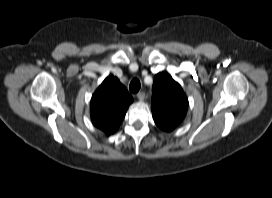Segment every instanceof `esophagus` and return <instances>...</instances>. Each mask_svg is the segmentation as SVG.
Wrapping results in <instances>:
<instances>
[{
    "mask_svg": "<svg viewBox=\"0 0 272 198\" xmlns=\"http://www.w3.org/2000/svg\"><path fill=\"white\" fill-rule=\"evenodd\" d=\"M137 98H138L139 101H143L144 98H145V93L144 92H139L137 94Z\"/></svg>",
    "mask_w": 272,
    "mask_h": 198,
    "instance_id": "esophagus-1",
    "label": "esophagus"
}]
</instances>
